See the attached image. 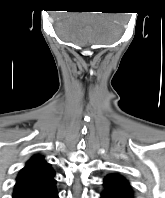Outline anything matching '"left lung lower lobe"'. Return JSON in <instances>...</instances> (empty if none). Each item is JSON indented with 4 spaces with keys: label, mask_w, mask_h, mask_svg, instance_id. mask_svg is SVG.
<instances>
[{
    "label": "left lung lower lobe",
    "mask_w": 165,
    "mask_h": 198,
    "mask_svg": "<svg viewBox=\"0 0 165 198\" xmlns=\"http://www.w3.org/2000/svg\"><path fill=\"white\" fill-rule=\"evenodd\" d=\"M104 190L100 198H134L129 182L118 174H109L103 181Z\"/></svg>",
    "instance_id": "1"
}]
</instances>
